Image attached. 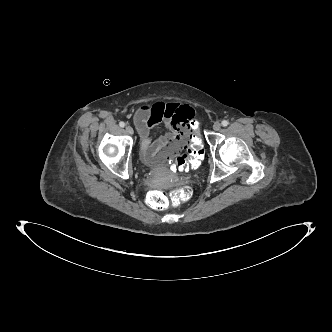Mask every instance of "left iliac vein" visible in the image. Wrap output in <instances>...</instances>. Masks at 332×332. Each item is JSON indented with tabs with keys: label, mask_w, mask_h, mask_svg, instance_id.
Instances as JSON below:
<instances>
[{
	"label": "left iliac vein",
	"mask_w": 332,
	"mask_h": 332,
	"mask_svg": "<svg viewBox=\"0 0 332 332\" xmlns=\"http://www.w3.org/2000/svg\"><path fill=\"white\" fill-rule=\"evenodd\" d=\"M221 129V124L219 122H215L213 124V130L219 131Z\"/></svg>",
	"instance_id": "left-iliac-vein-1"
}]
</instances>
